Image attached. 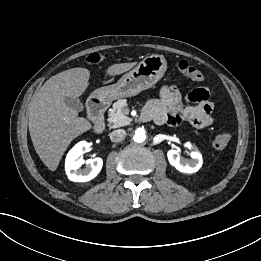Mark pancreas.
<instances>
[{"label":"pancreas","instance_id":"cf45deb5","mask_svg":"<svg viewBox=\"0 0 261 261\" xmlns=\"http://www.w3.org/2000/svg\"><path fill=\"white\" fill-rule=\"evenodd\" d=\"M129 109L127 108V103L125 99H119L113 104V108L109 113V126L111 128H118L128 125L131 119L127 117Z\"/></svg>","mask_w":261,"mask_h":261}]
</instances>
